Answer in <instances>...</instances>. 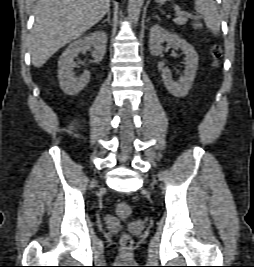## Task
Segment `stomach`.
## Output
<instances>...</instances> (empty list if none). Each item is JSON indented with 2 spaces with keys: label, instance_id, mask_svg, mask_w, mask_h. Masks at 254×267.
Listing matches in <instances>:
<instances>
[{
  "label": "stomach",
  "instance_id": "stomach-1",
  "mask_svg": "<svg viewBox=\"0 0 254 267\" xmlns=\"http://www.w3.org/2000/svg\"><path fill=\"white\" fill-rule=\"evenodd\" d=\"M167 0H156V2L157 3H159V4H163V3H165Z\"/></svg>",
  "mask_w": 254,
  "mask_h": 267
}]
</instances>
